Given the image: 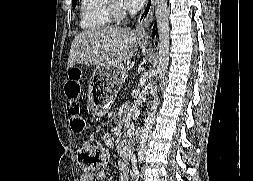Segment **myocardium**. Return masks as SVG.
<instances>
[{"mask_svg":"<svg viewBox=\"0 0 253 181\" xmlns=\"http://www.w3.org/2000/svg\"><path fill=\"white\" fill-rule=\"evenodd\" d=\"M107 10L112 20L118 21L126 17V9L118 0H106Z\"/></svg>","mask_w":253,"mask_h":181,"instance_id":"myocardium-1","label":"myocardium"}]
</instances>
